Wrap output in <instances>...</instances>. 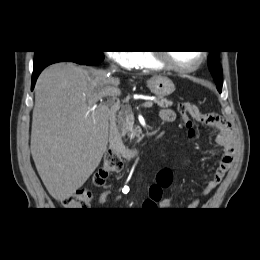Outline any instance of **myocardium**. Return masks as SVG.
Instances as JSON below:
<instances>
[{
  "label": "myocardium",
  "instance_id": "f54148a6",
  "mask_svg": "<svg viewBox=\"0 0 260 260\" xmlns=\"http://www.w3.org/2000/svg\"><path fill=\"white\" fill-rule=\"evenodd\" d=\"M149 53L154 58V60L158 62L162 67H165L172 71L182 72V73L192 72L198 69L206 59V53L204 51H199L200 57L196 63L189 66H181L172 62L169 53L166 51L155 50Z\"/></svg>",
  "mask_w": 260,
  "mask_h": 260
}]
</instances>
